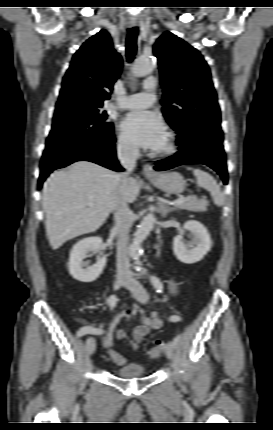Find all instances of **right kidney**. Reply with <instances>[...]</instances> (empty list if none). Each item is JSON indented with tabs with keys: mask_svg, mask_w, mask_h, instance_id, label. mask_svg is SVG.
Instances as JSON below:
<instances>
[{
	"mask_svg": "<svg viewBox=\"0 0 273 430\" xmlns=\"http://www.w3.org/2000/svg\"><path fill=\"white\" fill-rule=\"evenodd\" d=\"M101 245L102 238L92 236L80 240L73 246L70 252L68 269L70 275L75 280L90 283L101 275L106 265V258L104 256H99L97 262L91 266L83 261L87 257L88 252H98ZM100 254L102 255V253Z\"/></svg>",
	"mask_w": 273,
	"mask_h": 430,
	"instance_id": "right-kidney-1",
	"label": "right kidney"
}]
</instances>
